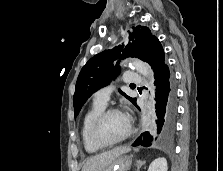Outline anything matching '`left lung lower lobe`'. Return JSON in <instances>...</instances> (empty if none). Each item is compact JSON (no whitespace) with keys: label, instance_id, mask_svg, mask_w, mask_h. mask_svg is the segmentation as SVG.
Segmentation results:
<instances>
[{"label":"left lung lower lobe","instance_id":"left-lung-lower-lobe-1","mask_svg":"<svg viewBox=\"0 0 223 171\" xmlns=\"http://www.w3.org/2000/svg\"><path fill=\"white\" fill-rule=\"evenodd\" d=\"M154 71L156 85V120L153 131L144 132L133 146H168L173 141L177 117V95L176 83L172 71L165 63V54L163 47L157 41L147 58V61ZM139 109V107L135 104Z\"/></svg>","mask_w":223,"mask_h":171}]
</instances>
